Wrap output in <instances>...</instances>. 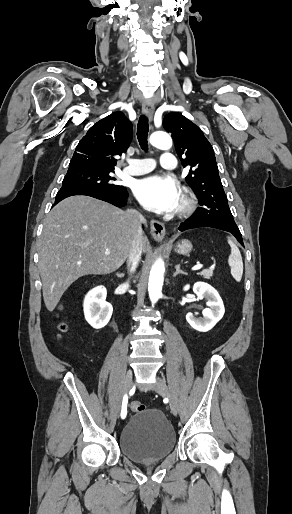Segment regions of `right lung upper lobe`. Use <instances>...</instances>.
I'll return each mask as SVG.
<instances>
[{
    "label": "right lung upper lobe",
    "mask_w": 292,
    "mask_h": 514,
    "mask_svg": "<svg viewBox=\"0 0 292 514\" xmlns=\"http://www.w3.org/2000/svg\"><path fill=\"white\" fill-rule=\"evenodd\" d=\"M132 135V123L122 112L101 119L78 143L68 172L114 171L116 157L126 152Z\"/></svg>",
    "instance_id": "1"
}]
</instances>
